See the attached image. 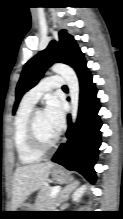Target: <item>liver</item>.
<instances>
[{
  "instance_id": "liver-1",
  "label": "liver",
  "mask_w": 123,
  "mask_h": 219,
  "mask_svg": "<svg viewBox=\"0 0 123 219\" xmlns=\"http://www.w3.org/2000/svg\"><path fill=\"white\" fill-rule=\"evenodd\" d=\"M54 166L52 162H45L16 168L12 185V211H16L30 194L43 188Z\"/></svg>"
}]
</instances>
